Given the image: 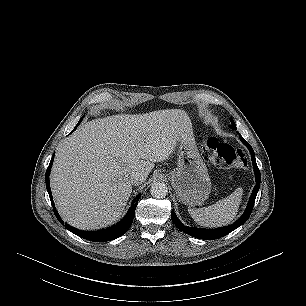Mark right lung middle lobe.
Masks as SVG:
<instances>
[{"instance_id":"1","label":"right lung middle lobe","mask_w":306,"mask_h":306,"mask_svg":"<svg viewBox=\"0 0 306 306\" xmlns=\"http://www.w3.org/2000/svg\"><path fill=\"white\" fill-rule=\"evenodd\" d=\"M82 119H83V117L80 119V121L78 122V124L82 121ZM78 124H77V125H78Z\"/></svg>"}]
</instances>
